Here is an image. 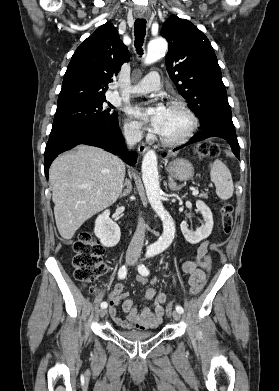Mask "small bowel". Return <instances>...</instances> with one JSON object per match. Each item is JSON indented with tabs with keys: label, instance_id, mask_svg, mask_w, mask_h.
Instances as JSON below:
<instances>
[{
	"label": "small bowel",
	"instance_id": "obj_1",
	"mask_svg": "<svg viewBox=\"0 0 279 391\" xmlns=\"http://www.w3.org/2000/svg\"><path fill=\"white\" fill-rule=\"evenodd\" d=\"M208 241H204L197 249V253L192 260L185 261L182 264V270L189 275L188 285H192L205 281V271L208 266L204 260L207 254ZM137 281L144 285L147 283V278L140 276ZM152 285H157L156 278L151 280ZM145 296L147 299H154V309L143 308L140 312L134 306L132 299L128 298V293L125 292V286L123 283L115 285L109 296V315L113 322L118 326L126 329H138L147 330L158 327L164 316V305L167 300V296L163 292L157 293L154 288H150L146 291ZM122 305V309L126 314V318L122 319L117 315V307Z\"/></svg>",
	"mask_w": 279,
	"mask_h": 391
}]
</instances>
